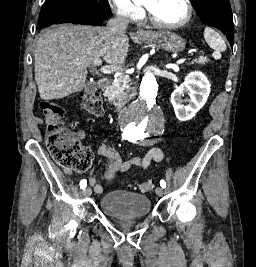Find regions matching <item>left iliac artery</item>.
<instances>
[{
    "label": "left iliac artery",
    "mask_w": 256,
    "mask_h": 267,
    "mask_svg": "<svg viewBox=\"0 0 256 267\" xmlns=\"http://www.w3.org/2000/svg\"><path fill=\"white\" fill-rule=\"evenodd\" d=\"M132 141V140H131ZM133 142V141H132ZM160 186L162 187V188H165L166 187V182L164 181V180H161L160 181Z\"/></svg>",
    "instance_id": "44dca946"
}]
</instances>
